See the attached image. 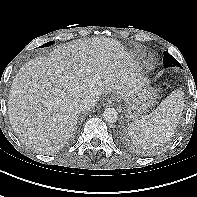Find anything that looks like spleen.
I'll use <instances>...</instances> for the list:
<instances>
[{"label": "spleen", "mask_w": 197, "mask_h": 197, "mask_svg": "<svg viewBox=\"0 0 197 197\" xmlns=\"http://www.w3.org/2000/svg\"><path fill=\"white\" fill-rule=\"evenodd\" d=\"M184 93L174 90L149 115L129 124L128 135L134 145L154 148L172 137L182 116Z\"/></svg>", "instance_id": "spleen-1"}]
</instances>
